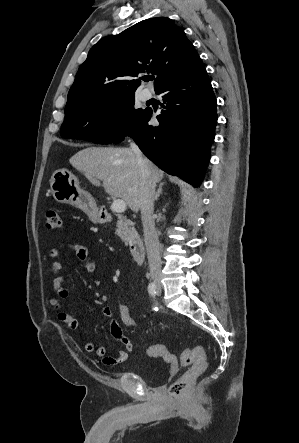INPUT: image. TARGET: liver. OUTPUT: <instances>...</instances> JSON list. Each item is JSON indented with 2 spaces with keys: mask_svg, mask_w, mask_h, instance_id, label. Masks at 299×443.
<instances>
[{
  "mask_svg": "<svg viewBox=\"0 0 299 443\" xmlns=\"http://www.w3.org/2000/svg\"><path fill=\"white\" fill-rule=\"evenodd\" d=\"M154 182L164 172L145 158ZM70 164L93 181L103 182L104 190L113 198L125 201L133 212L140 209V175L135 154L129 148L88 147L69 159Z\"/></svg>",
  "mask_w": 299,
  "mask_h": 443,
  "instance_id": "6515ba94",
  "label": "liver"
}]
</instances>
